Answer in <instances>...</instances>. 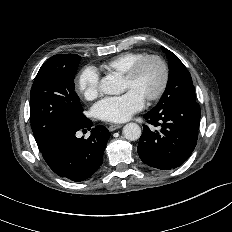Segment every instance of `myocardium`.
<instances>
[{
	"mask_svg": "<svg viewBox=\"0 0 232 232\" xmlns=\"http://www.w3.org/2000/svg\"><path fill=\"white\" fill-rule=\"evenodd\" d=\"M148 62L156 63L161 70V81L159 87L153 94L145 98L147 101H156L163 96L169 82V68L166 61L161 56L155 54H148L143 56L127 70V72L125 73V78L129 80H134L138 76L143 66Z\"/></svg>",
	"mask_w": 232,
	"mask_h": 232,
	"instance_id": "obj_1",
	"label": "myocardium"
}]
</instances>
